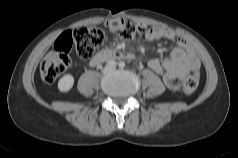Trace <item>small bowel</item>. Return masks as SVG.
Wrapping results in <instances>:
<instances>
[{
    "instance_id": "obj_1",
    "label": "small bowel",
    "mask_w": 238,
    "mask_h": 158,
    "mask_svg": "<svg viewBox=\"0 0 238 158\" xmlns=\"http://www.w3.org/2000/svg\"><path fill=\"white\" fill-rule=\"evenodd\" d=\"M165 38L176 43L170 56L164 60L153 58L148 61V66L162 77L164 84L172 90L178 89L181 82L191 72L200 67V61L193 47L174 31L153 27L147 35L149 40ZM91 64V63H90Z\"/></svg>"
}]
</instances>
